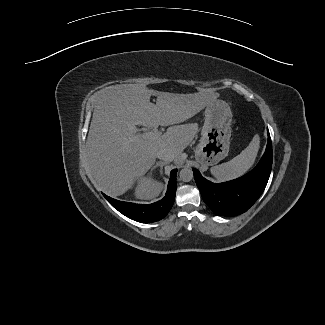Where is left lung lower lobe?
I'll return each instance as SVG.
<instances>
[{"instance_id": "left-lung-lower-lobe-1", "label": "left lung lower lobe", "mask_w": 325, "mask_h": 325, "mask_svg": "<svg viewBox=\"0 0 325 325\" xmlns=\"http://www.w3.org/2000/svg\"><path fill=\"white\" fill-rule=\"evenodd\" d=\"M272 142L268 131V143L257 166L246 175L228 182L215 184L201 176L193 168L194 178L204 202L221 216H236L246 212L263 193L272 167Z\"/></svg>"}]
</instances>
